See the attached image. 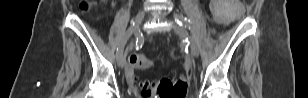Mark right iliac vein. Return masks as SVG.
Listing matches in <instances>:
<instances>
[{
	"mask_svg": "<svg viewBox=\"0 0 308 98\" xmlns=\"http://www.w3.org/2000/svg\"><path fill=\"white\" fill-rule=\"evenodd\" d=\"M145 14H146V10H142L140 11L135 20H134V24H133V27H132V33L134 36H136L139 32V26L141 24V22L143 21L144 17H145ZM131 46V44H130ZM127 52H128V49L123 53L121 54H117V61H118V64L119 66H121L122 68L125 67L126 65V55H127Z\"/></svg>",
	"mask_w": 308,
	"mask_h": 98,
	"instance_id": "obj_1",
	"label": "right iliac vein"
}]
</instances>
